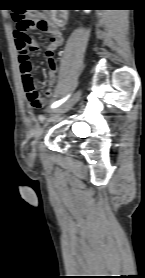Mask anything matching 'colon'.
I'll use <instances>...</instances> for the list:
<instances>
[{"label": "colon", "instance_id": "obj_1", "mask_svg": "<svg viewBox=\"0 0 145 278\" xmlns=\"http://www.w3.org/2000/svg\"><path fill=\"white\" fill-rule=\"evenodd\" d=\"M48 27V19L46 18H36L34 20H19L15 26V36L18 40L16 46L18 49L19 55L27 54L33 50L35 47L31 43V40L28 36H25L23 33L30 30L44 31ZM31 64H26L22 67L23 71L28 72ZM24 87L27 93V99L30 106L33 109H40L43 107L44 102L41 97L40 90L38 85L35 82L34 76L28 73L25 76Z\"/></svg>", "mask_w": 145, "mask_h": 278}]
</instances>
